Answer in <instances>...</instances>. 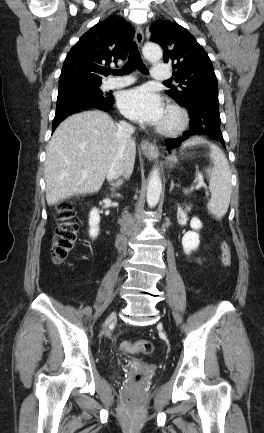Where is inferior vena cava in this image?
<instances>
[{"instance_id": "inferior-vena-cava-1", "label": "inferior vena cava", "mask_w": 264, "mask_h": 433, "mask_svg": "<svg viewBox=\"0 0 264 433\" xmlns=\"http://www.w3.org/2000/svg\"><path fill=\"white\" fill-rule=\"evenodd\" d=\"M135 132V128L126 121H120L117 125V138L120 144V147L118 149V155L116 159L112 162V164L109 167V170L107 172V180L109 182H112L113 180H116L119 178V176L123 175L125 178H127L123 174V165L121 162L118 161V156L123 157V153L126 149L127 142L131 139V135ZM113 183L111 185L113 186Z\"/></svg>"}]
</instances>
